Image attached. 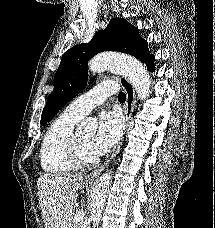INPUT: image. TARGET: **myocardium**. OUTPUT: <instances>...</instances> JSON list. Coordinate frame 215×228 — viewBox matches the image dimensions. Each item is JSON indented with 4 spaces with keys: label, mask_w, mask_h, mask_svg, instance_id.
<instances>
[{
    "label": "myocardium",
    "mask_w": 215,
    "mask_h": 228,
    "mask_svg": "<svg viewBox=\"0 0 215 228\" xmlns=\"http://www.w3.org/2000/svg\"><path fill=\"white\" fill-rule=\"evenodd\" d=\"M67 154L76 167L90 168L99 163V158H86L82 153L77 133H73L67 141Z\"/></svg>",
    "instance_id": "f54148a6"
}]
</instances>
